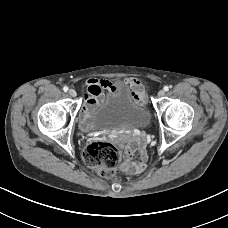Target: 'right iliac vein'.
Listing matches in <instances>:
<instances>
[{"mask_svg":"<svg viewBox=\"0 0 228 228\" xmlns=\"http://www.w3.org/2000/svg\"><path fill=\"white\" fill-rule=\"evenodd\" d=\"M68 93H69V95H70L71 97H75V96L77 95V93H76V91H75L74 89H70V90L68 91Z\"/></svg>","mask_w":228,"mask_h":228,"instance_id":"obj_1","label":"right iliac vein"}]
</instances>
